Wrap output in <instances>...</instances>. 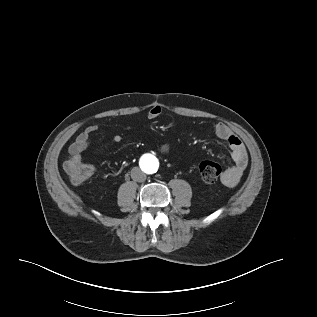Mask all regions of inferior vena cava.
<instances>
[{"instance_id":"obj_1","label":"inferior vena cava","mask_w":317,"mask_h":317,"mask_svg":"<svg viewBox=\"0 0 317 317\" xmlns=\"http://www.w3.org/2000/svg\"><path fill=\"white\" fill-rule=\"evenodd\" d=\"M131 178L137 182H143L146 180V174L138 167H134L131 170Z\"/></svg>"}]
</instances>
